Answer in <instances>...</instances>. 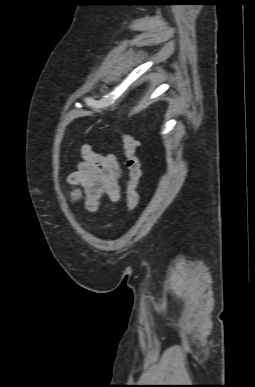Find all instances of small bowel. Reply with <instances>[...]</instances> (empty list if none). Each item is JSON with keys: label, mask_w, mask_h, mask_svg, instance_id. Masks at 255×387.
I'll return each mask as SVG.
<instances>
[{"label": "small bowel", "mask_w": 255, "mask_h": 387, "mask_svg": "<svg viewBox=\"0 0 255 387\" xmlns=\"http://www.w3.org/2000/svg\"><path fill=\"white\" fill-rule=\"evenodd\" d=\"M81 157L77 169L68 176V182L78 187L72 193L73 200L83 199L90 212L98 210L104 197L118 202L122 169L115 155L103 154L85 144L81 148Z\"/></svg>", "instance_id": "small-bowel-1"}]
</instances>
